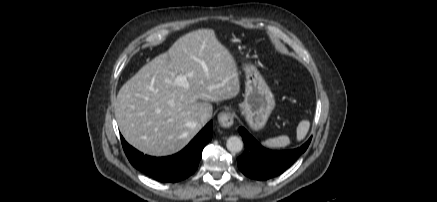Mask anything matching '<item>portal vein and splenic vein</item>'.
<instances>
[{"mask_svg":"<svg viewBox=\"0 0 437 202\" xmlns=\"http://www.w3.org/2000/svg\"><path fill=\"white\" fill-rule=\"evenodd\" d=\"M175 84L179 85V86H183V87H188L189 86V83L187 81V77L184 76V75H178L175 78Z\"/></svg>","mask_w":437,"mask_h":202,"instance_id":"portal-vein-and-splenic-vein-1","label":"portal vein and splenic vein"}]
</instances>
